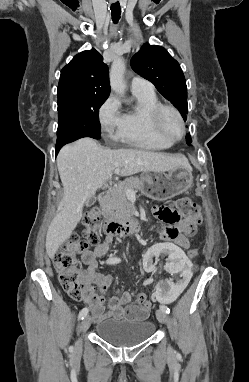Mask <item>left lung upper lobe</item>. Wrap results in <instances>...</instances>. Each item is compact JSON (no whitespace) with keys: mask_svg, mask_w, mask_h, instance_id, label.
Segmentation results:
<instances>
[{"mask_svg":"<svg viewBox=\"0 0 249 382\" xmlns=\"http://www.w3.org/2000/svg\"><path fill=\"white\" fill-rule=\"evenodd\" d=\"M132 69L151 81L157 90L181 113L184 120L188 113L187 87L178 62L161 46L144 44L131 59ZM190 134L186 142L191 144Z\"/></svg>","mask_w":249,"mask_h":382,"instance_id":"left-lung-upper-lobe-1","label":"left lung upper lobe"}]
</instances>
